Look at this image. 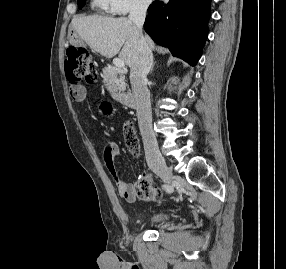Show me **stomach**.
<instances>
[{"label":"stomach","instance_id":"stomach-1","mask_svg":"<svg viewBox=\"0 0 286 269\" xmlns=\"http://www.w3.org/2000/svg\"><path fill=\"white\" fill-rule=\"evenodd\" d=\"M68 39H69V42L74 45H81L83 42L82 38L76 33L70 34L68 36Z\"/></svg>","mask_w":286,"mask_h":269}]
</instances>
